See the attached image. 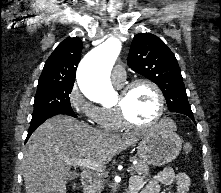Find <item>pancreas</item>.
<instances>
[{"label": "pancreas", "instance_id": "cf45deb5", "mask_svg": "<svg viewBox=\"0 0 221 193\" xmlns=\"http://www.w3.org/2000/svg\"><path fill=\"white\" fill-rule=\"evenodd\" d=\"M134 159V158H133ZM133 172L132 175L138 174L143 177L148 176L149 166L141 160H137V164L133 165ZM104 188L102 175H94L93 179L91 180L90 184L87 186L85 193H101V190Z\"/></svg>", "mask_w": 221, "mask_h": 193}]
</instances>
